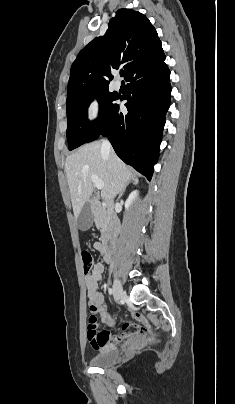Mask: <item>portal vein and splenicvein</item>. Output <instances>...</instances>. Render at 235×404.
Returning <instances> with one entry per match:
<instances>
[{
	"label": "portal vein and splenic vein",
	"instance_id": "portal-vein-and-splenic-vein-1",
	"mask_svg": "<svg viewBox=\"0 0 235 404\" xmlns=\"http://www.w3.org/2000/svg\"><path fill=\"white\" fill-rule=\"evenodd\" d=\"M91 179H92V182H93V184L95 185V187H96L97 189H102V188H103L104 183H103V181H101V180L98 178V176L92 175V176H91Z\"/></svg>",
	"mask_w": 235,
	"mask_h": 404
}]
</instances>
